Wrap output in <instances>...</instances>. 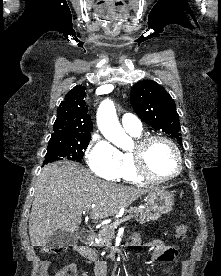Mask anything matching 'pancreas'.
I'll use <instances>...</instances> for the list:
<instances>
[{
	"instance_id": "cf45deb5",
	"label": "pancreas",
	"mask_w": 221,
	"mask_h": 276,
	"mask_svg": "<svg viewBox=\"0 0 221 276\" xmlns=\"http://www.w3.org/2000/svg\"><path fill=\"white\" fill-rule=\"evenodd\" d=\"M128 212L134 213L136 220L140 223V224H144L146 222L149 221H155L159 218V215L156 213H151L150 211H144L142 209L133 207L130 208V210H128ZM117 224L114 222L111 225H107L102 227V229L99 231V233L97 234V239H98V246H106L108 248L112 247V240L115 237V232L114 229L116 228Z\"/></svg>"
}]
</instances>
